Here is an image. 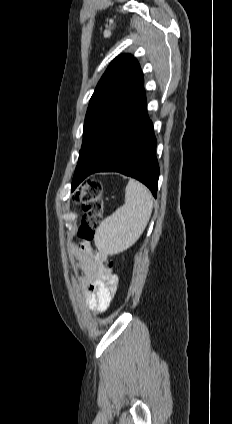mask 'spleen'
<instances>
[{
	"mask_svg": "<svg viewBox=\"0 0 232 424\" xmlns=\"http://www.w3.org/2000/svg\"><path fill=\"white\" fill-rule=\"evenodd\" d=\"M153 199L142 183L130 179L125 189V204L105 218L96 229L97 248L118 254L131 247L141 236L150 219Z\"/></svg>",
	"mask_w": 232,
	"mask_h": 424,
	"instance_id": "obj_1",
	"label": "spleen"
}]
</instances>
